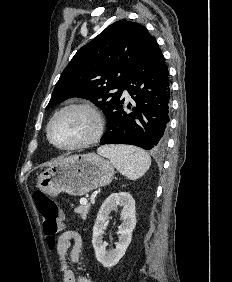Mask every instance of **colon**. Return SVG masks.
Wrapping results in <instances>:
<instances>
[{"label":"colon","instance_id":"5ec220e1","mask_svg":"<svg viewBox=\"0 0 232 282\" xmlns=\"http://www.w3.org/2000/svg\"><path fill=\"white\" fill-rule=\"evenodd\" d=\"M37 211L42 218L43 232L50 247L54 246L56 236L61 230L62 222L57 204L43 192L33 194Z\"/></svg>","mask_w":232,"mask_h":282}]
</instances>
